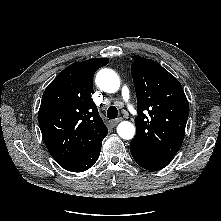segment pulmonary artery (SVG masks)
<instances>
[{"instance_id":"1","label":"pulmonary artery","mask_w":221,"mask_h":221,"mask_svg":"<svg viewBox=\"0 0 221 221\" xmlns=\"http://www.w3.org/2000/svg\"><path fill=\"white\" fill-rule=\"evenodd\" d=\"M121 94H122L123 99L126 102H128L129 97H130V93H129V89L125 85H123L122 88H121Z\"/></svg>"}]
</instances>
